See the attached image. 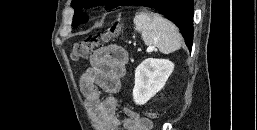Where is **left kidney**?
<instances>
[{"label":"left kidney","instance_id":"1","mask_svg":"<svg viewBox=\"0 0 257 130\" xmlns=\"http://www.w3.org/2000/svg\"><path fill=\"white\" fill-rule=\"evenodd\" d=\"M174 70V64L167 59L148 58L135 70L133 99L143 105L156 95L166 84Z\"/></svg>","mask_w":257,"mask_h":130}]
</instances>
